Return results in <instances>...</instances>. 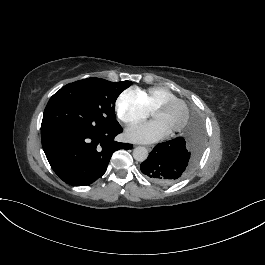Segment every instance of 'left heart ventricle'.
Instances as JSON below:
<instances>
[{
	"label": "left heart ventricle",
	"mask_w": 265,
	"mask_h": 265,
	"mask_svg": "<svg viewBox=\"0 0 265 265\" xmlns=\"http://www.w3.org/2000/svg\"><path fill=\"white\" fill-rule=\"evenodd\" d=\"M182 113V107L177 103H173L158 110L152 118L169 131L176 123L179 122L182 117Z\"/></svg>",
	"instance_id": "obj_1"
}]
</instances>
